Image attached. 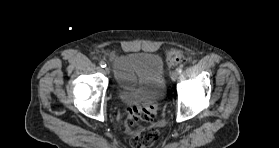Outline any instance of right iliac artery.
I'll return each mask as SVG.
<instances>
[{
  "mask_svg": "<svg viewBox=\"0 0 279 148\" xmlns=\"http://www.w3.org/2000/svg\"><path fill=\"white\" fill-rule=\"evenodd\" d=\"M99 64L102 68L106 67V63L104 61H101Z\"/></svg>",
  "mask_w": 279,
  "mask_h": 148,
  "instance_id": "82829eb1",
  "label": "right iliac artery"
}]
</instances>
